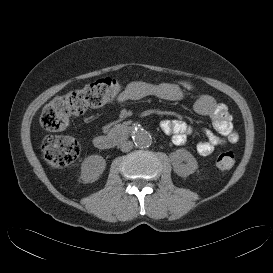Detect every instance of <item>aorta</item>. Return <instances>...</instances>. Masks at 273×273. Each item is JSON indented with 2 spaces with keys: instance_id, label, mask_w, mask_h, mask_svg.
<instances>
[{
  "instance_id": "obj_1",
  "label": "aorta",
  "mask_w": 273,
  "mask_h": 273,
  "mask_svg": "<svg viewBox=\"0 0 273 273\" xmlns=\"http://www.w3.org/2000/svg\"><path fill=\"white\" fill-rule=\"evenodd\" d=\"M133 141L137 147L146 148L152 144V136L146 130L136 126L133 129Z\"/></svg>"
}]
</instances>
